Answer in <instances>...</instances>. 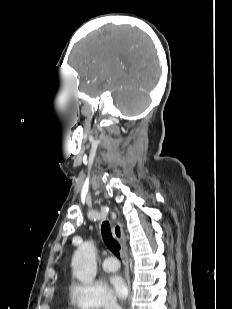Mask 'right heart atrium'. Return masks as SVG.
<instances>
[{"label":"right heart atrium","mask_w":232,"mask_h":309,"mask_svg":"<svg viewBox=\"0 0 232 309\" xmlns=\"http://www.w3.org/2000/svg\"><path fill=\"white\" fill-rule=\"evenodd\" d=\"M69 294L78 309H119L113 296L101 285L74 282Z\"/></svg>","instance_id":"obj_1"}]
</instances>
